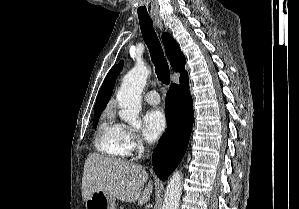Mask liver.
Instances as JSON below:
<instances>
[{
  "mask_svg": "<svg viewBox=\"0 0 299 209\" xmlns=\"http://www.w3.org/2000/svg\"><path fill=\"white\" fill-rule=\"evenodd\" d=\"M148 180L146 169L127 161L89 154L82 178V198L86 202L97 191H103L125 202L143 205L153 192L152 181Z\"/></svg>",
  "mask_w": 299,
  "mask_h": 209,
  "instance_id": "obj_1",
  "label": "liver"
}]
</instances>
